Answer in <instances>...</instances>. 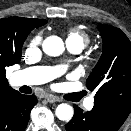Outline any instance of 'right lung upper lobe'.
<instances>
[{"instance_id": "1", "label": "right lung upper lobe", "mask_w": 131, "mask_h": 131, "mask_svg": "<svg viewBox=\"0 0 131 131\" xmlns=\"http://www.w3.org/2000/svg\"><path fill=\"white\" fill-rule=\"evenodd\" d=\"M47 20L22 17L0 19V103L19 92L11 88L5 76V67L21 59L20 31L24 27L42 26Z\"/></svg>"}]
</instances>
